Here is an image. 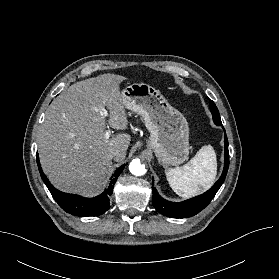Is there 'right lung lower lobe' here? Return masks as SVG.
Wrapping results in <instances>:
<instances>
[{"label": "right lung lower lobe", "instance_id": "obj_1", "mask_svg": "<svg viewBox=\"0 0 279 279\" xmlns=\"http://www.w3.org/2000/svg\"><path fill=\"white\" fill-rule=\"evenodd\" d=\"M37 164L43 182L45 183L59 206L63 208V210L67 213L81 217L102 215L109 209V196L112 194L113 187L118 176L121 174L122 170L125 167L124 164L115 171L114 176L109 184V188L106 189L101 195L94 198H84L74 194H67L54 188L41 169L38 155Z\"/></svg>", "mask_w": 279, "mask_h": 279}]
</instances>
